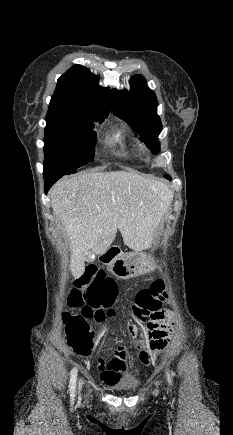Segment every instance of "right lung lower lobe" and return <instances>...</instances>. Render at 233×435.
<instances>
[{"label":"right lung lower lobe","mask_w":233,"mask_h":435,"mask_svg":"<svg viewBox=\"0 0 233 435\" xmlns=\"http://www.w3.org/2000/svg\"><path fill=\"white\" fill-rule=\"evenodd\" d=\"M61 178L60 176H53V177H47L44 178V190H45V194H47V192L49 191V189L51 188V186L59 179Z\"/></svg>","instance_id":"98d812e1"}]
</instances>
